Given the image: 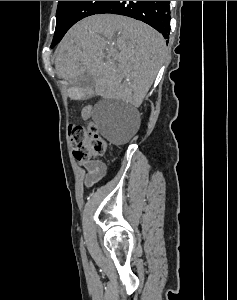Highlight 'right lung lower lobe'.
I'll use <instances>...</instances> for the list:
<instances>
[{"instance_id":"obj_1","label":"right lung lower lobe","mask_w":237,"mask_h":300,"mask_svg":"<svg viewBox=\"0 0 237 300\" xmlns=\"http://www.w3.org/2000/svg\"><path fill=\"white\" fill-rule=\"evenodd\" d=\"M112 13L141 20L169 37V1H108L96 14ZM168 42V41H167Z\"/></svg>"}]
</instances>
